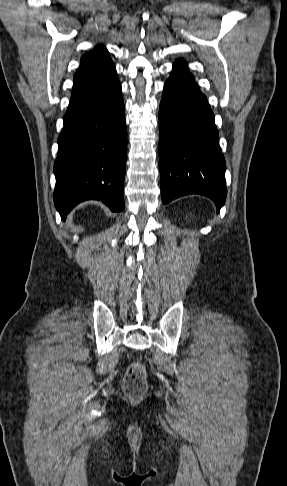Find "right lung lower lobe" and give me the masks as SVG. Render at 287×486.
Segmentation results:
<instances>
[{
  "label": "right lung lower lobe",
  "mask_w": 287,
  "mask_h": 486,
  "mask_svg": "<svg viewBox=\"0 0 287 486\" xmlns=\"http://www.w3.org/2000/svg\"><path fill=\"white\" fill-rule=\"evenodd\" d=\"M126 124L118 78L73 93L54 164V203L61 218L82 201L124 209Z\"/></svg>",
  "instance_id": "right-lung-lower-lobe-1"
}]
</instances>
